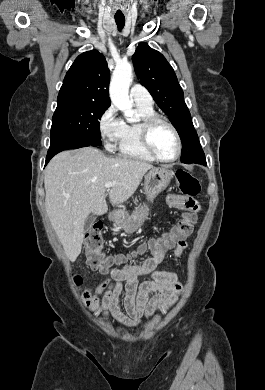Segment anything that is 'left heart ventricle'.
<instances>
[{"label":"left heart ventricle","mask_w":265,"mask_h":390,"mask_svg":"<svg viewBox=\"0 0 265 390\" xmlns=\"http://www.w3.org/2000/svg\"><path fill=\"white\" fill-rule=\"evenodd\" d=\"M151 143L159 156L171 159L176 154L177 143L174 134L166 125L156 124L151 131Z\"/></svg>","instance_id":"b2bd125f"}]
</instances>
